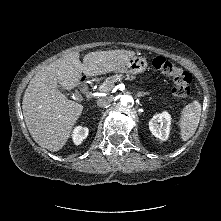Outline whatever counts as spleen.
Returning a JSON list of instances; mask_svg holds the SVG:
<instances>
[{
  "mask_svg": "<svg viewBox=\"0 0 221 221\" xmlns=\"http://www.w3.org/2000/svg\"><path fill=\"white\" fill-rule=\"evenodd\" d=\"M201 109V104L197 100L182 109L179 120L182 141L185 142L194 135L200 121Z\"/></svg>",
  "mask_w": 221,
  "mask_h": 221,
  "instance_id": "3e777b00",
  "label": "spleen"
}]
</instances>
